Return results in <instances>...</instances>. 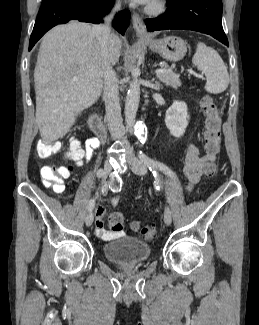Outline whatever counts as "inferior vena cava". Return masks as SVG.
Segmentation results:
<instances>
[{
    "mask_svg": "<svg viewBox=\"0 0 259 325\" xmlns=\"http://www.w3.org/2000/svg\"><path fill=\"white\" fill-rule=\"evenodd\" d=\"M120 8L117 3L116 9ZM113 13L105 18L104 24L94 26L99 42L98 63L103 74V100L106 108V118L108 128L114 140H118L121 144L127 145V141L123 136V124L121 117V108L119 104V91L116 83V74L110 63V38L111 26L109 24Z\"/></svg>",
    "mask_w": 259,
    "mask_h": 325,
    "instance_id": "602c4592",
    "label": "inferior vena cava"
}]
</instances>
